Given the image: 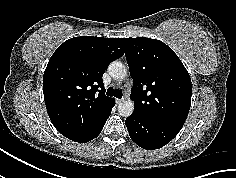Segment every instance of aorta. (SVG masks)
Masks as SVG:
<instances>
[{"mask_svg":"<svg viewBox=\"0 0 236 178\" xmlns=\"http://www.w3.org/2000/svg\"><path fill=\"white\" fill-rule=\"evenodd\" d=\"M110 75L118 80H122L127 76V68L120 61H113L109 65ZM134 104L131 100H123L118 104V112L123 117H128L133 113Z\"/></svg>","mask_w":236,"mask_h":178,"instance_id":"762f6f07","label":"aorta"}]
</instances>
